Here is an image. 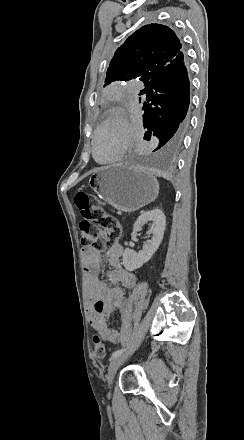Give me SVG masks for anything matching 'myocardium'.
Listing matches in <instances>:
<instances>
[{"mask_svg": "<svg viewBox=\"0 0 244 440\" xmlns=\"http://www.w3.org/2000/svg\"><path fill=\"white\" fill-rule=\"evenodd\" d=\"M107 117L109 118L108 122H102L101 126H99L92 135V142H91V153L92 157L96 161V163L100 165H116L118 162H120L124 155V132L125 129L129 123L130 114L128 111L124 109L120 110H112ZM118 122V123H117ZM104 127H117L115 130H111L112 133H116V143H115V152L116 154L108 158L107 160L101 161L96 156V138L99 132Z\"/></svg>", "mask_w": 244, "mask_h": 440, "instance_id": "1", "label": "myocardium"}]
</instances>
